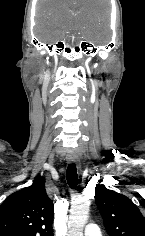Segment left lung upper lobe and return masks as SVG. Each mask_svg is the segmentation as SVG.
Here are the masks:
<instances>
[{
  "mask_svg": "<svg viewBox=\"0 0 145 236\" xmlns=\"http://www.w3.org/2000/svg\"><path fill=\"white\" fill-rule=\"evenodd\" d=\"M95 200L109 236H145V218L128 197L96 185Z\"/></svg>",
  "mask_w": 145,
  "mask_h": 236,
  "instance_id": "left-lung-upper-lobe-1",
  "label": "left lung upper lobe"
}]
</instances>
